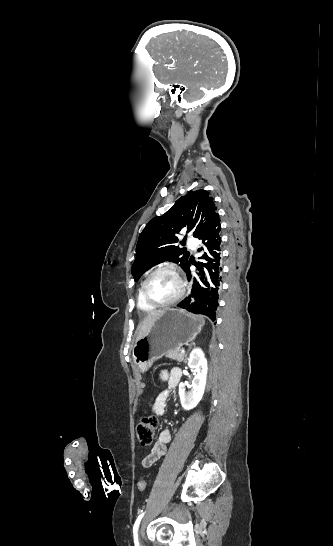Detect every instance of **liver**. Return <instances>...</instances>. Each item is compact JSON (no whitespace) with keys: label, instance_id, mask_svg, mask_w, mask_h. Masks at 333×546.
Segmentation results:
<instances>
[{"label":"liver","instance_id":"1","mask_svg":"<svg viewBox=\"0 0 333 546\" xmlns=\"http://www.w3.org/2000/svg\"><path fill=\"white\" fill-rule=\"evenodd\" d=\"M166 309L153 311L148 314V316L143 320L142 324L139 327V332L137 339H140L143 337L148 331L151 329L153 323L163 314L165 313Z\"/></svg>","mask_w":333,"mask_h":546}]
</instances>
